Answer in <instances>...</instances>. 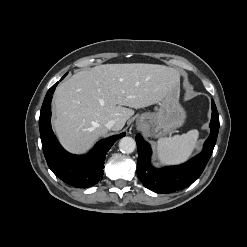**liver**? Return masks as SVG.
Here are the masks:
<instances>
[{"label": "liver", "mask_w": 247, "mask_h": 247, "mask_svg": "<svg viewBox=\"0 0 247 247\" xmlns=\"http://www.w3.org/2000/svg\"><path fill=\"white\" fill-rule=\"evenodd\" d=\"M179 86L178 71L164 65L104 64L80 71L55 90L54 130L66 150L84 153L108 133L109 120H116V131L124 127L134 114L126 107L153 105Z\"/></svg>", "instance_id": "1"}]
</instances>
